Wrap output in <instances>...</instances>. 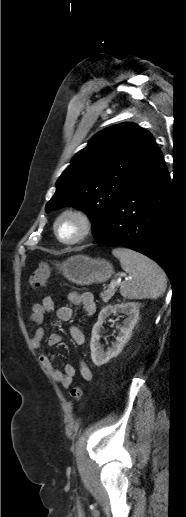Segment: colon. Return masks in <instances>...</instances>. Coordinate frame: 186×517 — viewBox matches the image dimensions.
<instances>
[{"mask_svg":"<svg viewBox=\"0 0 186 517\" xmlns=\"http://www.w3.org/2000/svg\"><path fill=\"white\" fill-rule=\"evenodd\" d=\"M51 276V269L47 264H41L31 275L30 284L34 288H39L45 285ZM83 391L79 385H74L70 390V396L78 402L82 397Z\"/></svg>","mask_w":186,"mask_h":517,"instance_id":"obj_1","label":"colon"}]
</instances>
